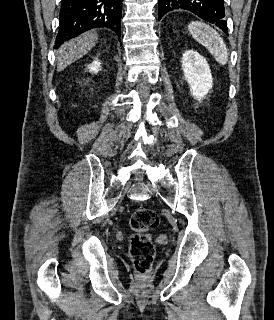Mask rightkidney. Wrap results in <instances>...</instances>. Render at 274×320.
Listing matches in <instances>:
<instances>
[{"mask_svg":"<svg viewBox=\"0 0 274 320\" xmlns=\"http://www.w3.org/2000/svg\"><path fill=\"white\" fill-rule=\"evenodd\" d=\"M102 66H101V62L100 60H94V62H92V64H89V66H87V70L88 72H91V74H98V72H100Z\"/></svg>","mask_w":274,"mask_h":320,"instance_id":"obj_1","label":"right kidney"}]
</instances>
